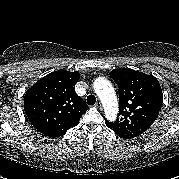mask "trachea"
I'll return each instance as SVG.
<instances>
[{"mask_svg":"<svg viewBox=\"0 0 179 179\" xmlns=\"http://www.w3.org/2000/svg\"><path fill=\"white\" fill-rule=\"evenodd\" d=\"M86 100L88 105H94L96 103V97L92 94L88 95Z\"/></svg>","mask_w":179,"mask_h":179,"instance_id":"obj_1","label":"trachea"}]
</instances>
